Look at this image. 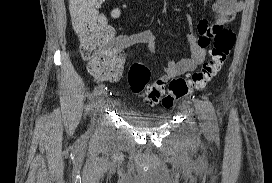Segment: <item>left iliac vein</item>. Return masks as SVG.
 Segmentation results:
<instances>
[{
  "label": "left iliac vein",
  "instance_id": "4c4485c4",
  "mask_svg": "<svg viewBox=\"0 0 272 183\" xmlns=\"http://www.w3.org/2000/svg\"><path fill=\"white\" fill-rule=\"evenodd\" d=\"M196 112H197L198 118L200 119L201 128L204 131H208L209 130L208 113L205 108L204 102L202 101L196 102Z\"/></svg>",
  "mask_w": 272,
  "mask_h": 183
}]
</instances>
